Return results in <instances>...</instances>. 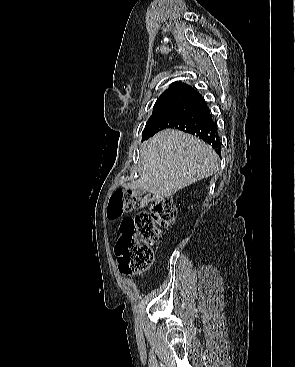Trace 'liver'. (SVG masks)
<instances>
[{
	"label": "liver",
	"mask_w": 295,
	"mask_h": 367,
	"mask_svg": "<svg viewBox=\"0 0 295 367\" xmlns=\"http://www.w3.org/2000/svg\"><path fill=\"white\" fill-rule=\"evenodd\" d=\"M141 175L128 185L159 197L212 176L219 159L204 141L178 130L166 129L140 146Z\"/></svg>",
	"instance_id": "liver-1"
}]
</instances>
